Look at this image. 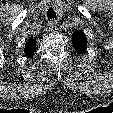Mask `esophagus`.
Here are the masks:
<instances>
[{
	"mask_svg": "<svg viewBox=\"0 0 113 113\" xmlns=\"http://www.w3.org/2000/svg\"><path fill=\"white\" fill-rule=\"evenodd\" d=\"M49 32H56L57 31V23L55 20H51L48 23V27H47Z\"/></svg>",
	"mask_w": 113,
	"mask_h": 113,
	"instance_id": "1",
	"label": "esophagus"
}]
</instances>
